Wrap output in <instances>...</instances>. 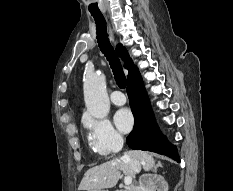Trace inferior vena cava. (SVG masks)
Returning <instances> with one entry per match:
<instances>
[{
  "instance_id": "inferior-vena-cava-1",
  "label": "inferior vena cava",
  "mask_w": 233,
  "mask_h": 191,
  "mask_svg": "<svg viewBox=\"0 0 233 191\" xmlns=\"http://www.w3.org/2000/svg\"><path fill=\"white\" fill-rule=\"evenodd\" d=\"M123 144H124L123 139H120L114 147V152L116 153L119 152L123 148ZM127 162L135 173H139L141 171V164L137 159L130 158L127 160Z\"/></svg>"
}]
</instances>
